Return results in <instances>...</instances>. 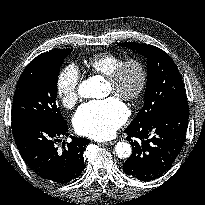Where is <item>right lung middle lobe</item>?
I'll return each instance as SVG.
<instances>
[{
	"instance_id": "1",
	"label": "right lung middle lobe",
	"mask_w": 205,
	"mask_h": 205,
	"mask_svg": "<svg viewBox=\"0 0 205 205\" xmlns=\"http://www.w3.org/2000/svg\"><path fill=\"white\" fill-rule=\"evenodd\" d=\"M72 50L56 49L34 58L21 74L13 98L11 119H36L52 125L65 121L56 104L57 80Z\"/></svg>"
}]
</instances>
